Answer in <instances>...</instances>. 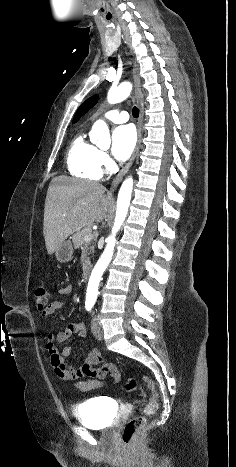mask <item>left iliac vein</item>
<instances>
[{"mask_svg":"<svg viewBox=\"0 0 236 467\" xmlns=\"http://www.w3.org/2000/svg\"><path fill=\"white\" fill-rule=\"evenodd\" d=\"M91 330L94 335V337L98 340L103 339V329L101 327V324L99 323L96 315H94L92 323H91Z\"/></svg>","mask_w":236,"mask_h":467,"instance_id":"1","label":"left iliac vein"}]
</instances>
